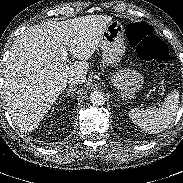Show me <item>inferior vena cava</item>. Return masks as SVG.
Here are the masks:
<instances>
[{
    "mask_svg": "<svg viewBox=\"0 0 183 183\" xmlns=\"http://www.w3.org/2000/svg\"><path fill=\"white\" fill-rule=\"evenodd\" d=\"M67 82L69 84L78 85L83 82L82 76L79 74H72L68 77Z\"/></svg>",
    "mask_w": 183,
    "mask_h": 183,
    "instance_id": "602c4592",
    "label": "inferior vena cava"
}]
</instances>
